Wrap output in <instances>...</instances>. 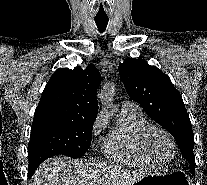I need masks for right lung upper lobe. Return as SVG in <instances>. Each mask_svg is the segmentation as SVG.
<instances>
[{
  "label": "right lung upper lobe",
  "instance_id": "obj_1",
  "mask_svg": "<svg viewBox=\"0 0 207 185\" xmlns=\"http://www.w3.org/2000/svg\"><path fill=\"white\" fill-rule=\"evenodd\" d=\"M101 75L93 64L86 69H58L43 90L34 117H63L94 123Z\"/></svg>",
  "mask_w": 207,
  "mask_h": 185
}]
</instances>
